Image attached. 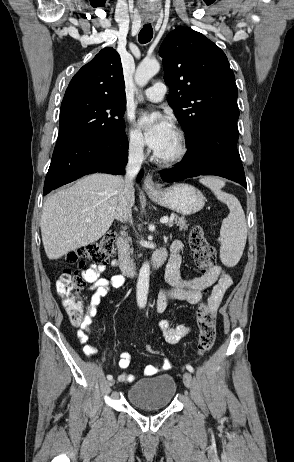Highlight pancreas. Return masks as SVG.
Here are the masks:
<instances>
[{"instance_id": "pancreas-1", "label": "pancreas", "mask_w": 294, "mask_h": 462, "mask_svg": "<svg viewBox=\"0 0 294 462\" xmlns=\"http://www.w3.org/2000/svg\"><path fill=\"white\" fill-rule=\"evenodd\" d=\"M174 224L179 226L180 230H186L188 228L187 221L184 219V217H179V216L175 215L173 220H171L168 223V225L173 226Z\"/></svg>"}]
</instances>
